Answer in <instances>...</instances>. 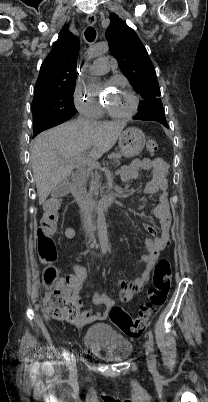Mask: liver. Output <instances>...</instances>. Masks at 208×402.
Here are the masks:
<instances>
[{"label": "liver", "mask_w": 208, "mask_h": 402, "mask_svg": "<svg viewBox=\"0 0 208 402\" xmlns=\"http://www.w3.org/2000/svg\"><path fill=\"white\" fill-rule=\"evenodd\" d=\"M126 122H90L75 120L39 134L32 142L31 160L39 204H44L50 192L67 180L81 154L89 152L98 160L115 146Z\"/></svg>", "instance_id": "6515ba94"}]
</instances>
